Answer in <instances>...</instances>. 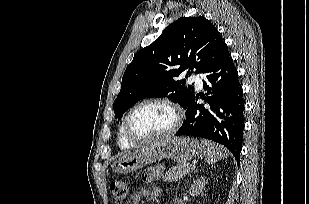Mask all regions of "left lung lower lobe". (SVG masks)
<instances>
[{
	"label": "left lung lower lobe",
	"instance_id": "1",
	"mask_svg": "<svg viewBox=\"0 0 309 204\" xmlns=\"http://www.w3.org/2000/svg\"><path fill=\"white\" fill-rule=\"evenodd\" d=\"M209 105L197 103L194 95L186 108V119L177 136H199L227 147L239 162L244 129L242 87L233 59L225 47L216 62L203 72Z\"/></svg>",
	"mask_w": 309,
	"mask_h": 204
}]
</instances>
